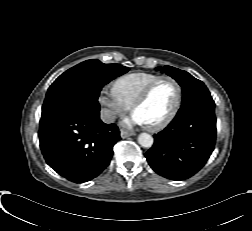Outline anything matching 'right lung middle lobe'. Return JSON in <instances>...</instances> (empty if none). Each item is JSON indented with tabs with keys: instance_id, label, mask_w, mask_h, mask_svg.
Masks as SVG:
<instances>
[{
	"instance_id": "1",
	"label": "right lung middle lobe",
	"mask_w": 252,
	"mask_h": 231,
	"mask_svg": "<svg viewBox=\"0 0 252 231\" xmlns=\"http://www.w3.org/2000/svg\"><path fill=\"white\" fill-rule=\"evenodd\" d=\"M129 69L120 64H104L97 59L84 61L60 75L49 87L42 113L62 105L100 110L102 87Z\"/></svg>"
}]
</instances>
